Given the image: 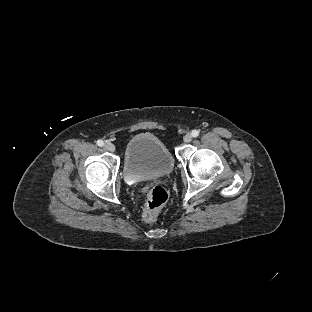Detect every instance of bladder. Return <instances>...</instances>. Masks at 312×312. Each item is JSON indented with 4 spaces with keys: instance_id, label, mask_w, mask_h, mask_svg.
Here are the masks:
<instances>
[{
    "instance_id": "31cf9c89",
    "label": "bladder",
    "mask_w": 312,
    "mask_h": 312,
    "mask_svg": "<svg viewBox=\"0 0 312 312\" xmlns=\"http://www.w3.org/2000/svg\"><path fill=\"white\" fill-rule=\"evenodd\" d=\"M172 168L173 157L160 139L139 134L128 141L123 169L126 179L158 177L171 172Z\"/></svg>"
}]
</instances>
